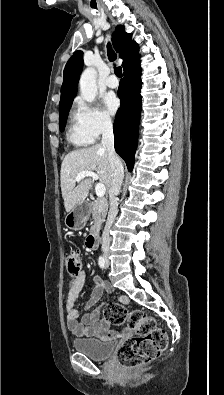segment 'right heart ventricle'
I'll list each match as a JSON object with an SVG mask.
<instances>
[{
    "mask_svg": "<svg viewBox=\"0 0 224 395\" xmlns=\"http://www.w3.org/2000/svg\"><path fill=\"white\" fill-rule=\"evenodd\" d=\"M68 140L76 146H87L92 143V139L83 133L76 119H73L69 125Z\"/></svg>",
    "mask_w": 224,
    "mask_h": 395,
    "instance_id": "right-heart-ventricle-1",
    "label": "right heart ventricle"
}]
</instances>
